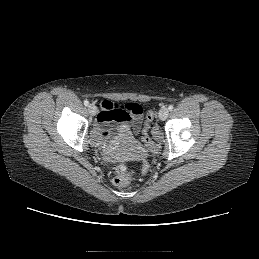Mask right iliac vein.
<instances>
[{
	"label": "right iliac vein",
	"instance_id": "63e3f726",
	"mask_svg": "<svg viewBox=\"0 0 259 259\" xmlns=\"http://www.w3.org/2000/svg\"><path fill=\"white\" fill-rule=\"evenodd\" d=\"M88 112L91 116H95L97 113V107L94 104L88 106Z\"/></svg>",
	"mask_w": 259,
	"mask_h": 259
}]
</instances>
